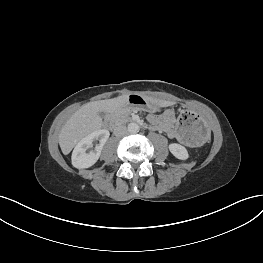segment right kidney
<instances>
[{"instance_id":"obj_1","label":"right kidney","mask_w":263,"mask_h":263,"mask_svg":"<svg viewBox=\"0 0 263 263\" xmlns=\"http://www.w3.org/2000/svg\"><path fill=\"white\" fill-rule=\"evenodd\" d=\"M109 135L108 130L100 129L79 141L72 152V165L78 169L89 168L94 165L99 159L101 150L108 140ZM95 141H99V144H96L94 150H90Z\"/></svg>"}]
</instances>
